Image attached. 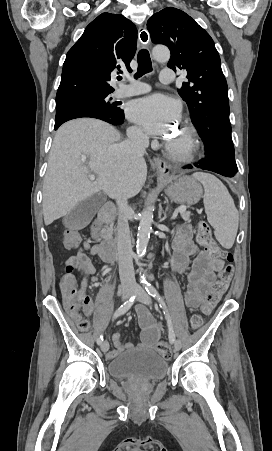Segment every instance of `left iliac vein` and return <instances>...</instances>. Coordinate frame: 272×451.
<instances>
[{
    "mask_svg": "<svg viewBox=\"0 0 272 451\" xmlns=\"http://www.w3.org/2000/svg\"><path fill=\"white\" fill-rule=\"evenodd\" d=\"M137 289H138V287L135 286V290H136V291H137ZM137 294H138L137 300H138L139 302L144 303V304H146V305H148V306H151V304H152L151 298H150L149 294H148L145 290L140 289V290L138 291ZM174 346H175V349H176V350H179L180 347H181L180 341H178V340L175 341Z\"/></svg>",
    "mask_w": 272,
    "mask_h": 451,
    "instance_id": "4c4485c4",
    "label": "left iliac vein"
}]
</instances>
